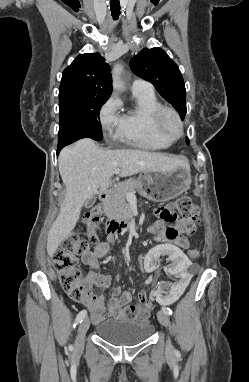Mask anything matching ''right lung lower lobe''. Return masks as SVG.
<instances>
[{"label":"right lung lower lobe","mask_w":249,"mask_h":382,"mask_svg":"<svg viewBox=\"0 0 249 382\" xmlns=\"http://www.w3.org/2000/svg\"><path fill=\"white\" fill-rule=\"evenodd\" d=\"M62 146H58L57 155L59 154L60 150L62 149Z\"/></svg>","instance_id":"1"}]
</instances>
